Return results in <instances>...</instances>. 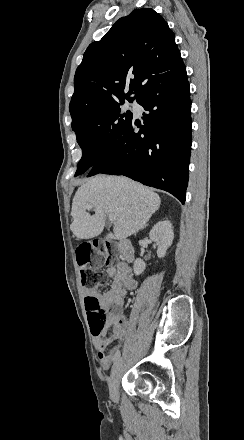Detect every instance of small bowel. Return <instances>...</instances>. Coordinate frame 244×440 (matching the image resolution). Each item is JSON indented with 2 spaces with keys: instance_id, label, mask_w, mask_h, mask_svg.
I'll return each instance as SVG.
<instances>
[{
  "instance_id": "obj_1",
  "label": "small bowel",
  "mask_w": 244,
  "mask_h": 440,
  "mask_svg": "<svg viewBox=\"0 0 244 440\" xmlns=\"http://www.w3.org/2000/svg\"><path fill=\"white\" fill-rule=\"evenodd\" d=\"M108 278H112V283L105 292L88 293L85 289L82 291L84 299L93 297L102 305L107 313L108 307H123L126 294L128 291L134 290L137 281L133 276L132 270L126 263H119L116 267H109L105 271ZM89 309V308H86ZM107 316L106 328L111 327V334L106 335L105 332L94 337V346L100 366L103 370H108L115 362L113 359L114 352L117 348H121L126 334L129 330V323L125 327H116L114 321L116 318H125L121 316ZM126 319V318H125ZM114 344L110 349L109 346Z\"/></svg>"
}]
</instances>
